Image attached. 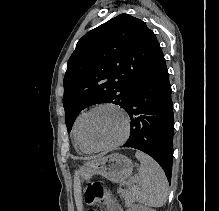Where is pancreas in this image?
<instances>
[{"mask_svg":"<svg viewBox=\"0 0 219 211\" xmlns=\"http://www.w3.org/2000/svg\"><path fill=\"white\" fill-rule=\"evenodd\" d=\"M122 197H124L126 205H131V203H133V197L128 189L122 191Z\"/></svg>","mask_w":219,"mask_h":211,"instance_id":"cf45deb5","label":"pancreas"}]
</instances>
